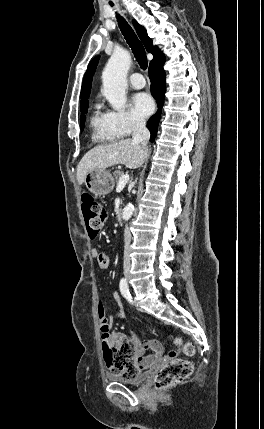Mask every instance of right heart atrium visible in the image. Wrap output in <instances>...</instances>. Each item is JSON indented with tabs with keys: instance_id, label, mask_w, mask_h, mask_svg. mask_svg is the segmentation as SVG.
Returning a JSON list of instances; mask_svg holds the SVG:
<instances>
[{
	"instance_id": "obj_1",
	"label": "right heart atrium",
	"mask_w": 264,
	"mask_h": 429,
	"mask_svg": "<svg viewBox=\"0 0 264 429\" xmlns=\"http://www.w3.org/2000/svg\"><path fill=\"white\" fill-rule=\"evenodd\" d=\"M108 119L120 137L129 136L143 127L144 121L127 110L108 111Z\"/></svg>"
}]
</instances>
